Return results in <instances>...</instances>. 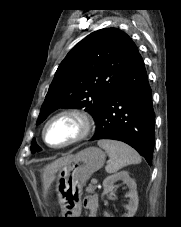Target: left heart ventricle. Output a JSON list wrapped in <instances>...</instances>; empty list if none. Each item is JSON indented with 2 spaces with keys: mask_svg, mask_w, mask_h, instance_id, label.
Segmentation results:
<instances>
[{
  "mask_svg": "<svg viewBox=\"0 0 181 227\" xmlns=\"http://www.w3.org/2000/svg\"><path fill=\"white\" fill-rule=\"evenodd\" d=\"M78 131L77 121L69 117H61L48 126L46 139L51 145H61L73 138Z\"/></svg>",
  "mask_w": 181,
  "mask_h": 227,
  "instance_id": "1",
  "label": "left heart ventricle"
}]
</instances>
